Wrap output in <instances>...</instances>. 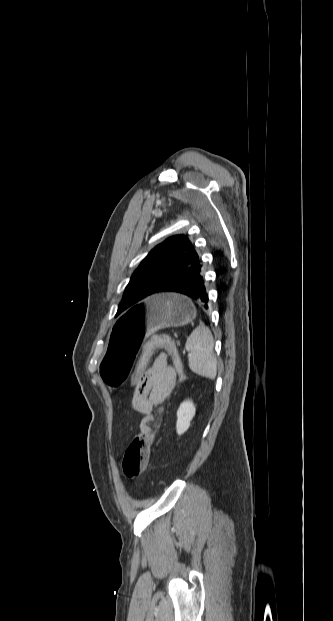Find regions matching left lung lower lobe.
Here are the masks:
<instances>
[{
	"label": "left lung lower lobe",
	"mask_w": 333,
	"mask_h": 621,
	"mask_svg": "<svg viewBox=\"0 0 333 621\" xmlns=\"http://www.w3.org/2000/svg\"><path fill=\"white\" fill-rule=\"evenodd\" d=\"M201 267L202 265L200 264L197 267L187 269L165 283L157 293H182L202 304L205 308H208V295L201 275Z\"/></svg>",
	"instance_id": "0a47b994"
}]
</instances>
